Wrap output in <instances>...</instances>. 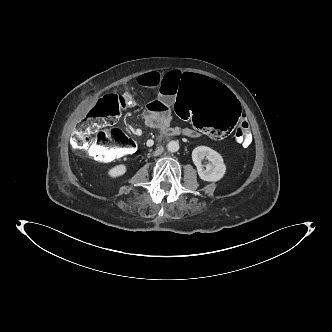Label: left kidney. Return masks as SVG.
I'll list each match as a JSON object with an SVG mask.
<instances>
[{
    "mask_svg": "<svg viewBox=\"0 0 332 332\" xmlns=\"http://www.w3.org/2000/svg\"><path fill=\"white\" fill-rule=\"evenodd\" d=\"M206 159L207 164H202ZM192 161L197 167L199 177L208 182H217L226 172L223 157L207 146H198L192 151Z\"/></svg>",
    "mask_w": 332,
    "mask_h": 332,
    "instance_id": "left-kidney-1",
    "label": "left kidney"
}]
</instances>
